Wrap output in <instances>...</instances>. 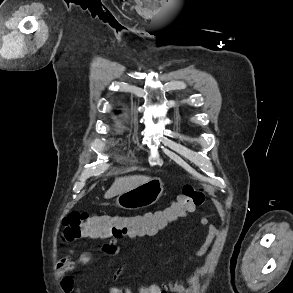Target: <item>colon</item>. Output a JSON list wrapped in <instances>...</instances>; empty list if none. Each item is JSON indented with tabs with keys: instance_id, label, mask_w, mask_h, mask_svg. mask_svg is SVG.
<instances>
[{
	"instance_id": "colon-1",
	"label": "colon",
	"mask_w": 293,
	"mask_h": 293,
	"mask_svg": "<svg viewBox=\"0 0 293 293\" xmlns=\"http://www.w3.org/2000/svg\"><path fill=\"white\" fill-rule=\"evenodd\" d=\"M203 199V188L187 184L168 207L144 214H97L71 211L62 219V238L65 241L82 237L109 239L114 236L161 228L193 211ZM142 292L157 293V289L144 287Z\"/></svg>"
}]
</instances>
